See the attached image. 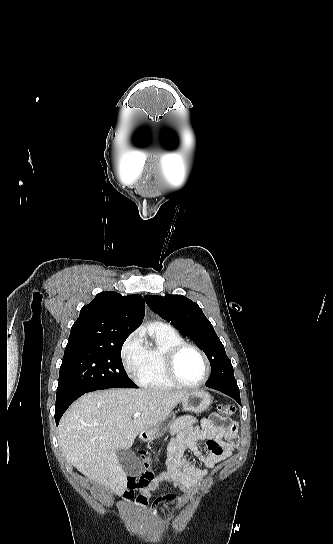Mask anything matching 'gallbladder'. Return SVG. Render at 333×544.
I'll return each mask as SVG.
<instances>
[{
    "label": "gallbladder",
    "mask_w": 333,
    "mask_h": 544,
    "mask_svg": "<svg viewBox=\"0 0 333 544\" xmlns=\"http://www.w3.org/2000/svg\"><path fill=\"white\" fill-rule=\"evenodd\" d=\"M116 455L121 466L128 475L137 476L142 472V465L133 451L117 448Z\"/></svg>",
    "instance_id": "gallbladder-1"
}]
</instances>
